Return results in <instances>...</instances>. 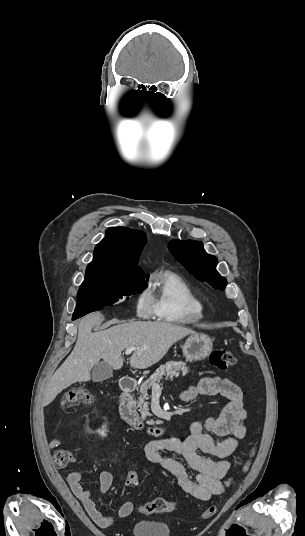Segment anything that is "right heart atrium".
Masks as SVG:
<instances>
[{"label": "right heart atrium", "mask_w": 305, "mask_h": 536, "mask_svg": "<svg viewBox=\"0 0 305 536\" xmlns=\"http://www.w3.org/2000/svg\"><path fill=\"white\" fill-rule=\"evenodd\" d=\"M135 309L137 315L144 318L150 316L154 312L147 290L143 289L137 293L135 298Z\"/></svg>", "instance_id": "right-heart-atrium-1"}]
</instances>
